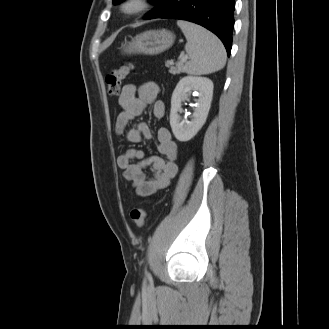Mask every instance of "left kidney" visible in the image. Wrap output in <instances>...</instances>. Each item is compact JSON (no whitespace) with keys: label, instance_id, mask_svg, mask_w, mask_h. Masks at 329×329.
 I'll return each instance as SVG.
<instances>
[{"label":"left kidney","instance_id":"1","mask_svg":"<svg viewBox=\"0 0 329 329\" xmlns=\"http://www.w3.org/2000/svg\"><path fill=\"white\" fill-rule=\"evenodd\" d=\"M213 82L206 77L186 76L180 79L171 98L170 125L176 139L186 142L192 139L204 125L213 96ZM197 91L198 99L192 120L183 125L181 116V102L188 93Z\"/></svg>","mask_w":329,"mask_h":329}]
</instances>
